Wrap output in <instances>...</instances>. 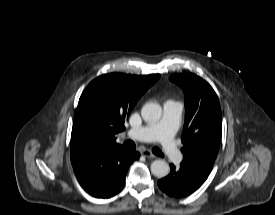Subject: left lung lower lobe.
<instances>
[{
  "instance_id": "1",
  "label": "left lung lower lobe",
  "mask_w": 275,
  "mask_h": 215,
  "mask_svg": "<svg viewBox=\"0 0 275 215\" xmlns=\"http://www.w3.org/2000/svg\"><path fill=\"white\" fill-rule=\"evenodd\" d=\"M170 167V174L158 181V187L170 197L182 198L192 194L208 177L183 163L179 168H175L173 164Z\"/></svg>"
}]
</instances>
